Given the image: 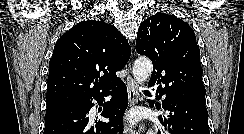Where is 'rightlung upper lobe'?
<instances>
[{"label": "right lung upper lobe", "mask_w": 244, "mask_h": 134, "mask_svg": "<svg viewBox=\"0 0 244 134\" xmlns=\"http://www.w3.org/2000/svg\"><path fill=\"white\" fill-rule=\"evenodd\" d=\"M131 48L111 24L82 21L56 42L49 62L46 101L90 98L105 93L120 79Z\"/></svg>", "instance_id": "right-lung-upper-lobe-1"}]
</instances>
